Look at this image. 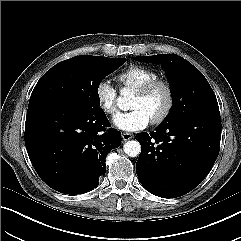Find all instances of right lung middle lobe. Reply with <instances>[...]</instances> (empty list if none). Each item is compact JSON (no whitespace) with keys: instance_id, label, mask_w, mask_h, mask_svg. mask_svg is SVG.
<instances>
[{"instance_id":"1","label":"right lung middle lobe","mask_w":241,"mask_h":241,"mask_svg":"<svg viewBox=\"0 0 241 241\" xmlns=\"http://www.w3.org/2000/svg\"><path fill=\"white\" fill-rule=\"evenodd\" d=\"M126 62V58L76 56L49 69L36 84L29 107L59 102L90 112L99 110L101 81Z\"/></svg>"}]
</instances>
